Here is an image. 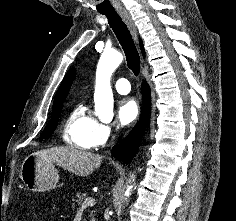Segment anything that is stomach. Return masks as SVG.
<instances>
[{
    "instance_id": "1",
    "label": "stomach",
    "mask_w": 236,
    "mask_h": 221,
    "mask_svg": "<svg viewBox=\"0 0 236 221\" xmlns=\"http://www.w3.org/2000/svg\"><path fill=\"white\" fill-rule=\"evenodd\" d=\"M20 177L27 189L45 192L56 187L59 174L54 164L37 155H28L22 163Z\"/></svg>"
}]
</instances>
